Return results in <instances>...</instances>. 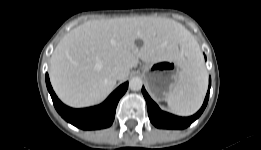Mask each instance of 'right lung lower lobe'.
Returning <instances> with one entry per match:
<instances>
[{
	"mask_svg": "<svg viewBox=\"0 0 261 150\" xmlns=\"http://www.w3.org/2000/svg\"><path fill=\"white\" fill-rule=\"evenodd\" d=\"M46 85L57 112L72 125L83 130L109 127L114 120L119 99L128 88V82L120 85L102 104L85 109H73L64 105L54 93L46 73Z\"/></svg>",
	"mask_w": 261,
	"mask_h": 150,
	"instance_id": "right-lung-lower-lobe-1",
	"label": "right lung lower lobe"
}]
</instances>
